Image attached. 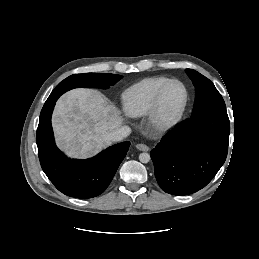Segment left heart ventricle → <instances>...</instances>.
I'll return each instance as SVG.
<instances>
[{
    "mask_svg": "<svg viewBox=\"0 0 259 259\" xmlns=\"http://www.w3.org/2000/svg\"><path fill=\"white\" fill-rule=\"evenodd\" d=\"M184 100V90L181 85L173 83L169 85L162 98V114L169 118L174 115Z\"/></svg>",
    "mask_w": 259,
    "mask_h": 259,
    "instance_id": "b2bd125f",
    "label": "left heart ventricle"
}]
</instances>
